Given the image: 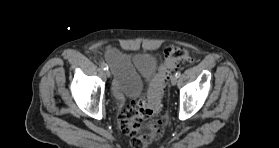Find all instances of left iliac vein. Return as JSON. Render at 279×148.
I'll list each match as a JSON object with an SVG mask.
<instances>
[{"instance_id": "4c4485c4", "label": "left iliac vein", "mask_w": 279, "mask_h": 148, "mask_svg": "<svg viewBox=\"0 0 279 148\" xmlns=\"http://www.w3.org/2000/svg\"><path fill=\"white\" fill-rule=\"evenodd\" d=\"M177 82H178V78H177L175 75H173V76L171 77V84L174 86V85L177 84Z\"/></svg>"}]
</instances>
